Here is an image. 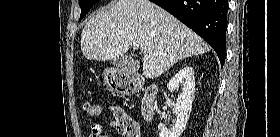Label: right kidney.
<instances>
[{
	"mask_svg": "<svg viewBox=\"0 0 280 137\" xmlns=\"http://www.w3.org/2000/svg\"><path fill=\"white\" fill-rule=\"evenodd\" d=\"M179 86H182V92L179 95V100L174 104L175 125L168 130L160 123L158 125L160 137H180L186 127L195 92L194 70L191 66L180 69L167 85L170 91H175Z\"/></svg>",
	"mask_w": 280,
	"mask_h": 137,
	"instance_id": "right-kidney-1",
	"label": "right kidney"
}]
</instances>
